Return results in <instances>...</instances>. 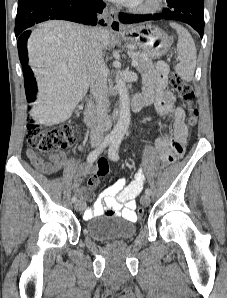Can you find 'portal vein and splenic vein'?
Listing matches in <instances>:
<instances>
[{
    "label": "portal vein and splenic vein",
    "mask_w": 227,
    "mask_h": 298,
    "mask_svg": "<svg viewBox=\"0 0 227 298\" xmlns=\"http://www.w3.org/2000/svg\"><path fill=\"white\" fill-rule=\"evenodd\" d=\"M137 64H138L137 60L132 58V66L136 67Z\"/></svg>",
    "instance_id": "1"
}]
</instances>
